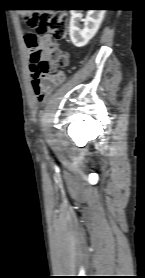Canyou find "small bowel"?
<instances>
[{"instance_id":"c3829d8e","label":"small bowel","mask_w":145,"mask_h":278,"mask_svg":"<svg viewBox=\"0 0 145 278\" xmlns=\"http://www.w3.org/2000/svg\"><path fill=\"white\" fill-rule=\"evenodd\" d=\"M38 40L40 43H45V44H49V43H53L56 46H58V42L51 37L50 35H43L38 37ZM51 79H57L58 83L55 84H48V81ZM65 79V75L62 71H59L57 73L51 74V73H47L45 74V76L38 82L41 90L48 95L49 93H51L58 85H60ZM35 82L34 80L32 81V85L34 86Z\"/></svg>"}]
</instances>
